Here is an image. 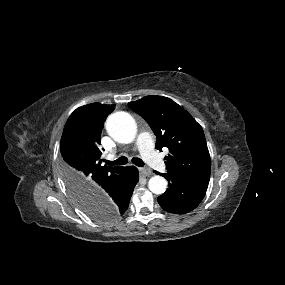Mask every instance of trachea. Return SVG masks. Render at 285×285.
<instances>
[{
    "mask_svg": "<svg viewBox=\"0 0 285 285\" xmlns=\"http://www.w3.org/2000/svg\"><path fill=\"white\" fill-rule=\"evenodd\" d=\"M105 163L109 166H114V165H125L128 163V159L125 156H122L120 158H118L117 160L114 161H108L106 160ZM132 163L135 164L138 167H143L144 166V162L138 158V157H133L132 158Z\"/></svg>",
    "mask_w": 285,
    "mask_h": 285,
    "instance_id": "1",
    "label": "trachea"
}]
</instances>
